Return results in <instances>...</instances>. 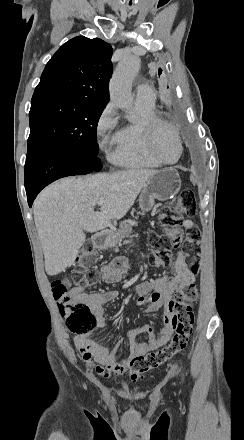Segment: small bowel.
I'll return each instance as SVG.
<instances>
[{
    "instance_id": "c3829d8e",
    "label": "small bowel",
    "mask_w": 244,
    "mask_h": 440,
    "mask_svg": "<svg viewBox=\"0 0 244 440\" xmlns=\"http://www.w3.org/2000/svg\"><path fill=\"white\" fill-rule=\"evenodd\" d=\"M194 225L193 221L185 220L184 228L188 229ZM169 263L172 274L170 277L163 276L155 280L144 281L135 288L138 295V303L146 306L147 313H155L163 308V327L159 333H155L150 325H142L131 332L128 337L129 354L118 358L117 351L120 343L108 346L102 341L94 339L89 335H77L73 337L75 347L82 361L105 378L121 376L126 373L133 360L134 353H148L166 344L173 333V295L185 285L194 284L196 273L192 272L186 263V256L178 251L170 254ZM156 264H161L156 261ZM129 270V262L124 257L115 258L111 264L104 266L99 278L108 284L118 283L124 274ZM71 295L76 300H85L97 317L98 325L105 326L104 305L115 300L118 292L106 290L100 292H85L81 284L75 285ZM144 332L149 335L147 342L138 343L135 337L138 333Z\"/></svg>"
}]
</instances>
